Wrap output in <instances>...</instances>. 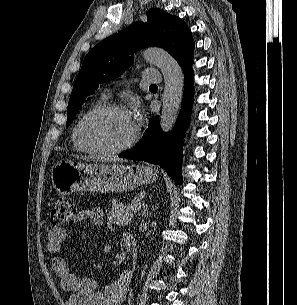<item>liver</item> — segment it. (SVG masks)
Returning a JSON list of instances; mask_svg holds the SVG:
<instances>
[{"label": "liver", "mask_w": 297, "mask_h": 305, "mask_svg": "<svg viewBox=\"0 0 297 305\" xmlns=\"http://www.w3.org/2000/svg\"><path fill=\"white\" fill-rule=\"evenodd\" d=\"M86 160L97 159V157H84ZM115 161H120V159H114Z\"/></svg>", "instance_id": "1"}]
</instances>
